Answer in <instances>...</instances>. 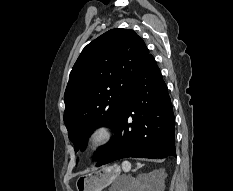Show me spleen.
Here are the masks:
<instances>
[{
	"label": "spleen",
	"mask_w": 233,
	"mask_h": 191,
	"mask_svg": "<svg viewBox=\"0 0 233 191\" xmlns=\"http://www.w3.org/2000/svg\"><path fill=\"white\" fill-rule=\"evenodd\" d=\"M131 168V164L130 162L128 161H123L122 163V169L125 171V172H128Z\"/></svg>",
	"instance_id": "3e777b00"
}]
</instances>
